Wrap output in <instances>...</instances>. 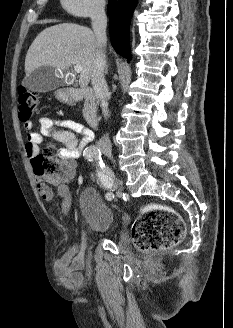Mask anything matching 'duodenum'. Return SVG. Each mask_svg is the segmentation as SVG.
<instances>
[{"instance_id": "1", "label": "duodenum", "mask_w": 233, "mask_h": 328, "mask_svg": "<svg viewBox=\"0 0 233 328\" xmlns=\"http://www.w3.org/2000/svg\"><path fill=\"white\" fill-rule=\"evenodd\" d=\"M61 96L64 101L70 103L83 101V117L92 128L97 127L98 113L96 97L91 88H67L62 91Z\"/></svg>"}]
</instances>
